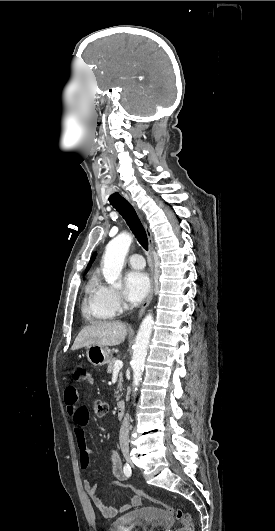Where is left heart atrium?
<instances>
[{"instance_id":"1","label":"left heart atrium","mask_w":275,"mask_h":531,"mask_svg":"<svg viewBox=\"0 0 275 531\" xmlns=\"http://www.w3.org/2000/svg\"><path fill=\"white\" fill-rule=\"evenodd\" d=\"M149 287V276L141 270H131L124 276V293L132 303L140 302L148 293Z\"/></svg>"}]
</instances>
